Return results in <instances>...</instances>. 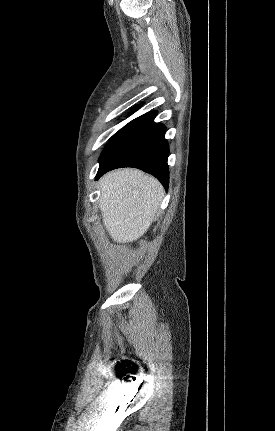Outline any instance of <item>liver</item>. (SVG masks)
Instances as JSON below:
<instances>
[{"instance_id":"1","label":"liver","mask_w":275,"mask_h":431,"mask_svg":"<svg viewBox=\"0 0 275 431\" xmlns=\"http://www.w3.org/2000/svg\"><path fill=\"white\" fill-rule=\"evenodd\" d=\"M99 187V206L111 238L127 243L143 236L164 196L160 182L140 170L125 168L104 175Z\"/></svg>"}]
</instances>
